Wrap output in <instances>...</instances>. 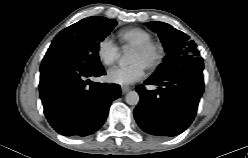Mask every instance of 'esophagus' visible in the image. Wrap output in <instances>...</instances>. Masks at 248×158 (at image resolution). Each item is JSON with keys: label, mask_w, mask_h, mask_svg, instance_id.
<instances>
[{"label": "esophagus", "mask_w": 248, "mask_h": 158, "mask_svg": "<svg viewBox=\"0 0 248 158\" xmlns=\"http://www.w3.org/2000/svg\"><path fill=\"white\" fill-rule=\"evenodd\" d=\"M121 90H122V93L125 94V93H127L128 91L131 90V87L126 86V85H122Z\"/></svg>", "instance_id": "obj_1"}]
</instances>
